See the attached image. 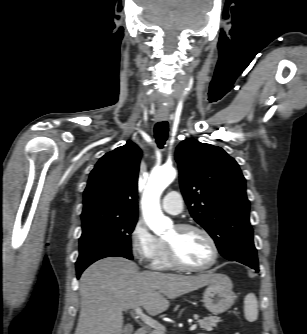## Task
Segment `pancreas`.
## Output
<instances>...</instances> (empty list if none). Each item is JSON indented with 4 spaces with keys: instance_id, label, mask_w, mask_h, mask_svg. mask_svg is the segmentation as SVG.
Instances as JSON below:
<instances>
[{
    "instance_id": "pancreas-1",
    "label": "pancreas",
    "mask_w": 307,
    "mask_h": 334,
    "mask_svg": "<svg viewBox=\"0 0 307 334\" xmlns=\"http://www.w3.org/2000/svg\"><path fill=\"white\" fill-rule=\"evenodd\" d=\"M195 318L198 319V316H195ZM219 322H221V319L217 316H208L204 317L203 319H198L200 328L207 331L213 330V328L216 327L217 323ZM150 334H164V332L154 330Z\"/></svg>"
}]
</instances>
